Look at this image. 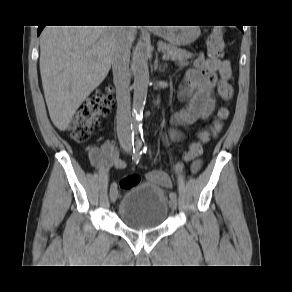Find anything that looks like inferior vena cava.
<instances>
[{
  "label": "inferior vena cava",
  "mask_w": 292,
  "mask_h": 292,
  "mask_svg": "<svg viewBox=\"0 0 292 292\" xmlns=\"http://www.w3.org/2000/svg\"><path fill=\"white\" fill-rule=\"evenodd\" d=\"M131 26H117L118 38L112 61L113 81L117 99V136L120 146L130 151L131 145V107H130V50L131 41L128 32Z\"/></svg>",
  "instance_id": "602c4592"
}]
</instances>
